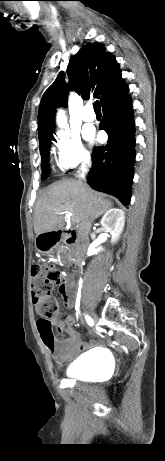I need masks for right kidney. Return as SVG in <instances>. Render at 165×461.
Masks as SVG:
<instances>
[{"label": "right kidney", "instance_id": "right-kidney-1", "mask_svg": "<svg viewBox=\"0 0 165 461\" xmlns=\"http://www.w3.org/2000/svg\"><path fill=\"white\" fill-rule=\"evenodd\" d=\"M125 224V215L123 210L118 208H113L108 210L101 219V225L109 232L112 236L111 243L114 244L120 238L121 233L123 232ZM102 250L101 247L96 248V245L92 244L88 248V254H96Z\"/></svg>", "mask_w": 165, "mask_h": 461}]
</instances>
